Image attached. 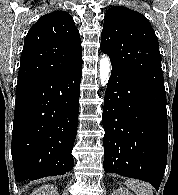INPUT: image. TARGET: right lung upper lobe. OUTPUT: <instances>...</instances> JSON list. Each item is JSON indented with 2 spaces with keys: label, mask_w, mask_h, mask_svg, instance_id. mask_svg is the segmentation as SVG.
Listing matches in <instances>:
<instances>
[{
  "label": "right lung upper lobe",
  "mask_w": 178,
  "mask_h": 195,
  "mask_svg": "<svg viewBox=\"0 0 178 195\" xmlns=\"http://www.w3.org/2000/svg\"><path fill=\"white\" fill-rule=\"evenodd\" d=\"M82 65L79 31L64 11L42 16L29 30L21 54L18 81L64 73Z\"/></svg>",
  "instance_id": "right-lung-upper-lobe-1"
}]
</instances>
